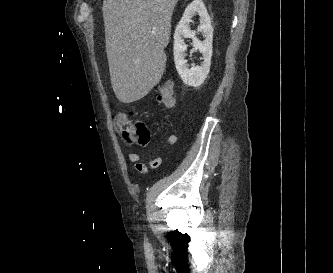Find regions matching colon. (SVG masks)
<instances>
[{"label":"colon","instance_id":"5ec220e1","mask_svg":"<svg viewBox=\"0 0 333 273\" xmlns=\"http://www.w3.org/2000/svg\"><path fill=\"white\" fill-rule=\"evenodd\" d=\"M157 101L166 106L172 107L175 101L174 89L171 82L161 84L156 93ZM114 128L118 135L127 143L132 145L145 146L149 143L151 133L147 126L140 120L132 119L127 112H119L114 118ZM137 169L145 172L147 167L144 163H137Z\"/></svg>","mask_w":333,"mask_h":273}]
</instances>
